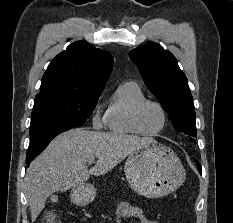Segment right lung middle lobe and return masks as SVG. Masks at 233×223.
Returning a JSON list of instances; mask_svg holds the SVG:
<instances>
[{
  "instance_id": "1",
  "label": "right lung middle lobe",
  "mask_w": 233,
  "mask_h": 223,
  "mask_svg": "<svg viewBox=\"0 0 233 223\" xmlns=\"http://www.w3.org/2000/svg\"><path fill=\"white\" fill-rule=\"evenodd\" d=\"M99 95L49 93L36 96L27 156L41 153L58 134L83 125Z\"/></svg>"
}]
</instances>
